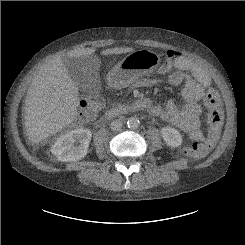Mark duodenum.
<instances>
[{"label": "duodenum", "instance_id": "1", "mask_svg": "<svg viewBox=\"0 0 245 245\" xmlns=\"http://www.w3.org/2000/svg\"><path fill=\"white\" fill-rule=\"evenodd\" d=\"M155 108L154 103L148 99H141L132 104H128L126 106H122L119 108L108 109L105 112L104 118L107 120L111 119H120L124 115L139 112L142 110L150 111ZM101 123H98L100 125Z\"/></svg>", "mask_w": 245, "mask_h": 245}]
</instances>
